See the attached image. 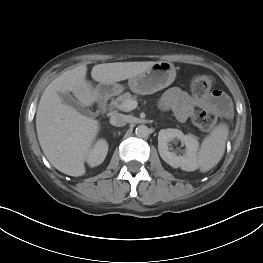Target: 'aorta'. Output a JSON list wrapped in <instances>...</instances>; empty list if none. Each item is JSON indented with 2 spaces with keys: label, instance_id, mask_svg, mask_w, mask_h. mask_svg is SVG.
<instances>
[{
  "label": "aorta",
  "instance_id": "obj_1",
  "mask_svg": "<svg viewBox=\"0 0 263 263\" xmlns=\"http://www.w3.org/2000/svg\"><path fill=\"white\" fill-rule=\"evenodd\" d=\"M136 136L146 138L150 134V129L146 125H139L135 130Z\"/></svg>",
  "mask_w": 263,
  "mask_h": 263
}]
</instances>
